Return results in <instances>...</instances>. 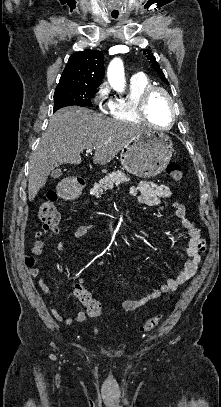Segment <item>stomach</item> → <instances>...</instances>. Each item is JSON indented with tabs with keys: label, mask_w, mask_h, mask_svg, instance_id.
I'll list each match as a JSON object with an SVG mask.
<instances>
[{
	"label": "stomach",
	"mask_w": 221,
	"mask_h": 407,
	"mask_svg": "<svg viewBox=\"0 0 221 407\" xmlns=\"http://www.w3.org/2000/svg\"><path fill=\"white\" fill-rule=\"evenodd\" d=\"M173 143L169 136L144 131L131 139L121 150L120 161L123 168L138 177H153L161 173L173 154ZM80 190L71 187L66 197L75 199Z\"/></svg>",
	"instance_id": "0dacf381"
}]
</instances>
